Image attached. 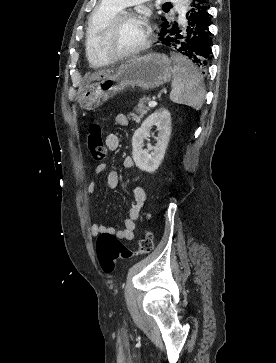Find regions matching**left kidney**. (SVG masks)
Segmentation results:
<instances>
[{
  "label": "left kidney",
  "instance_id": "obj_1",
  "mask_svg": "<svg viewBox=\"0 0 276 363\" xmlns=\"http://www.w3.org/2000/svg\"><path fill=\"white\" fill-rule=\"evenodd\" d=\"M153 126L157 127V142L154 146L148 144L147 149H143V141L150 135ZM170 134L171 115L167 109L160 108L144 120L132 137V157L139 169L148 173L158 169L164 158Z\"/></svg>",
  "mask_w": 276,
  "mask_h": 363
}]
</instances>
